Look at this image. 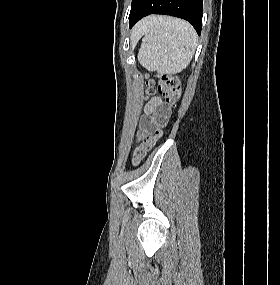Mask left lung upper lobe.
Returning <instances> with one entry per match:
<instances>
[{"label":"left lung upper lobe","instance_id":"left-lung-upper-lobe-1","mask_svg":"<svg viewBox=\"0 0 280 285\" xmlns=\"http://www.w3.org/2000/svg\"><path fill=\"white\" fill-rule=\"evenodd\" d=\"M135 2H136V0H132L131 9L133 8V6H134Z\"/></svg>","mask_w":280,"mask_h":285}]
</instances>
